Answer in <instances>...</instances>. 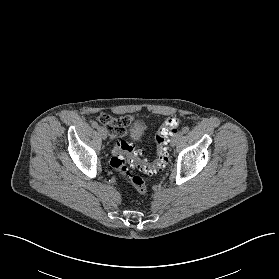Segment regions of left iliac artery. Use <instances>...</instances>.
I'll return each mask as SVG.
<instances>
[{
    "instance_id": "1",
    "label": "left iliac artery",
    "mask_w": 279,
    "mask_h": 279,
    "mask_svg": "<svg viewBox=\"0 0 279 279\" xmlns=\"http://www.w3.org/2000/svg\"><path fill=\"white\" fill-rule=\"evenodd\" d=\"M182 132L184 134L188 133L189 132V127L188 126H185L183 129H182Z\"/></svg>"
}]
</instances>
